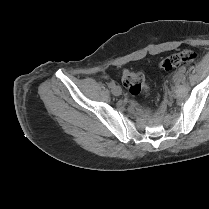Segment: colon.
<instances>
[{"instance_id": "colon-1", "label": "colon", "mask_w": 209, "mask_h": 209, "mask_svg": "<svg viewBox=\"0 0 209 209\" xmlns=\"http://www.w3.org/2000/svg\"><path fill=\"white\" fill-rule=\"evenodd\" d=\"M194 58L195 55L191 50H183L162 59L159 66L163 70L168 71L182 64L191 63ZM122 83L131 95H147L150 91V86L144 74L140 72L129 69L123 70Z\"/></svg>"}]
</instances>
